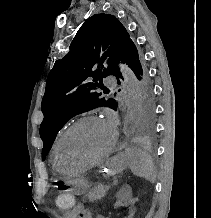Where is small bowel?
Instances as JSON below:
<instances>
[{
  "label": "small bowel",
  "mask_w": 211,
  "mask_h": 218,
  "mask_svg": "<svg viewBox=\"0 0 211 218\" xmlns=\"http://www.w3.org/2000/svg\"><path fill=\"white\" fill-rule=\"evenodd\" d=\"M73 215L77 216V218H91L90 212L83 205H77L71 211V216ZM97 218H103V217L98 216ZM124 218H135V216L132 211H128V214Z\"/></svg>",
  "instance_id": "c3829d8e"
}]
</instances>
